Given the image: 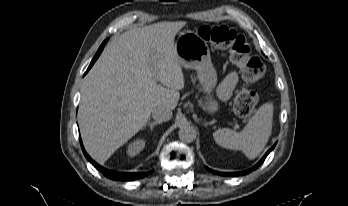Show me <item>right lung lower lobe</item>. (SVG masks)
I'll return each instance as SVG.
<instances>
[{
    "label": "right lung lower lobe",
    "mask_w": 348,
    "mask_h": 206,
    "mask_svg": "<svg viewBox=\"0 0 348 206\" xmlns=\"http://www.w3.org/2000/svg\"><path fill=\"white\" fill-rule=\"evenodd\" d=\"M107 40H105L99 50L97 51L95 57L93 58L90 66L88 67L86 73L89 71V69L92 67V65L94 64V62L97 60V58L99 57V55L101 54L105 44H106ZM85 73V74H86ZM80 143H81V146H82V150H83V153L85 155V157L89 160V162L99 171H101L104 176L110 178V179H113V180H120V181H130V180H134V179H138V178H142V177H145L146 175H148L149 173H122V172H115V171H111V170H107L103 167H101L100 165H98L96 162H94L90 157L89 155L86 153L85 149L83 148V145H82V141L80 139Z\"/></svg>",
    "instance_id": "obj_1"
}]
</instances>
